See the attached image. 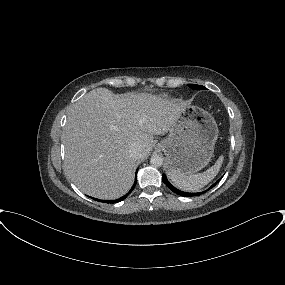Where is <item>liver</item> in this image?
I'll use <instances>...</instances> for the list:
<instances>
[{"label":"liver","mask_w":285,"mask_h":285,"mask_svg":"<svg viewBox=\"0 0 285 285\" xmlns=\"http://www.w3.org/2000/svg\"><path fill=\"white\" fill-rule=\"evenodd\" d=\"M185 108L184 102L148 93L90 91L67 114L65 173L87 195L108 200L125 195L137 161L153 148V135L170 131ZM134 143L141 147L138 158L130 154Z\"/></svg>","instance_id":"liver-1"}]
</instances>
